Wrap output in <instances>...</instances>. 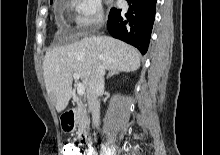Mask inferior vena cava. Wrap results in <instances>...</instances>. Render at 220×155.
Returning <instances> with one entry per match:
<instances>
[{
    "label": "inferior vena cava",
    "mask_w": 220,
    "mask_h": 155,
    "mask_svg": "<svg viewBox=\"0 0 220 155\" xmlns=\"http://www.w3.org/2000/svg\"><path fill=\"white\" fill-rule=\"evenodd\" d=\"M103 60V56H100ZM104 75L105 66L99 63L95 66L89 84L87 87V100L89 104V109L92 113L93 124L97 127L100 120V102L99 95L104 91Z\"/></svg>",
    "instance_id": "602c4592"
}]
</instances>
